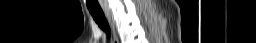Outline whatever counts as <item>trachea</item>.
Instances as JSON below:
<instances>
[{
    "label": "trachea",
    "instance_id": "obj_1",
    "mask_svg": "<svg viewBox=\"0 0 256 43\" xmlns=\"http://www.w3.org/2000/svg\"><path fill=\"white\" fill-rule=\"evenodd\" d=\"M88 10H89L90 14L92 15L93 19L95 20V22L100 27V29H102L106 33L107 39H110L111 30H110L109 24L104 16L103 10H91V9H88Z\"/></svg>",
    "mask_w": 256,
    "mask_h": 43
}]
</instances>
